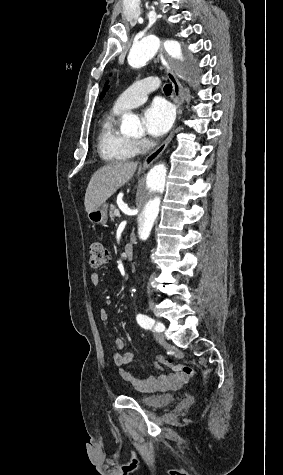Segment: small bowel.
<instances>
[{"label": "small bowel", "instance_id": "c3829d8e", "mask_svg": "<svg viewBox=\"0 0 283 475\" xmlns=\"http://www.w3.org/2000/svg\"><path fill=\"white\" fill-rule=\"evenodd\" d=\"M101 281L100 275L96 272L90 274L91 285L97 287ZM99 320L104 326H108L110 314L108 310L102 308L99 310ZM113 343L118 350L124 347V341L121 338H114ZM112 361L115 366L123 367L135 361V355L131 352H116L112 356ZM122 378L131 383L136 389H141L149 385L166 384L169 387L176 388L185 383V380L178 374H160L158 376L137 377L129 370L121 371Z\"/></svg>", "mask_w": 283, "mask_h": 475}]
</instances>
